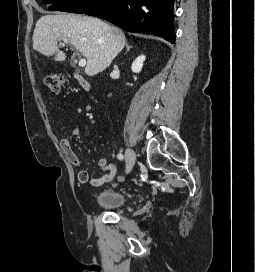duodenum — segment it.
Here are the masks:
<instances>
[{"label":"duodenum","instance_id":"1","mask_svg":"<svg viewBox=\"0 0 255 272\" xmlns=\"http://www.w3.org/2000/svg\"><path fill=\"white\" fill-rule=\"evenodd\" d=\"M77 78L83 88L89 89L91 87V85L88 82L84 81L83 79L79 78L78 76H77Z\"/></svg>","mask_w":255,"mask_h":272}]
</instances>
